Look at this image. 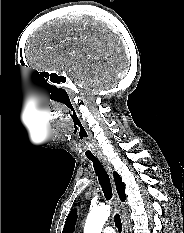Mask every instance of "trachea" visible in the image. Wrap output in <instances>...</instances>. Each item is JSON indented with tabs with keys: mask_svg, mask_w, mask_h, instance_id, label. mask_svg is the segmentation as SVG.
Here are the masks:
<instances>
[{
	"mask_svg": "<svg viewBox=\"0 0 184 233\" xmlns=\"http://www.w3.org/2000/svg\"><path fill=\"white\" fill-rule=\"evenodd\" d=\"M78 135L83 149L82 151L84 152L85 156L93 163L95 173L98 177L99 183L101 185L102 191L106 199L111 200L113 194H112V186H111L110 178L107 172L105 171V169L103 168V166L101 165L100 161L94 155L93 149L89 144V134L87 130L83 126H80ZM114 220L118 231L121 233L122 223H121L120 215L115 214Z\"/></svg>",
	"mask_w": 184,
	"mask_h": 233,
	"instance_id": "obj_1",
	"label": "trachea"
}]
</instances>
